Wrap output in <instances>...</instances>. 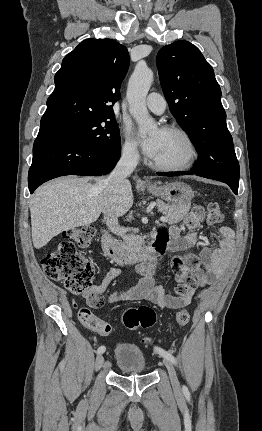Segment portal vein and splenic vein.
<instances>
[{
  "instance_id": "portal-vein-and-splenic-vein-1",
  "label": "portal vein and splenic vein",
  "mask_w": 262,
  "mask_h": 431,
  "mask_svg": "<svg viewBox=\"0 0 262 431\" xmlns=\"http://www.w3.org/2000/svg\"><path fill=\"white\" fill-rule=\"evenodd\" d=\"M159 220L162 221V222H167V218L166 217H161Z\"/></svg>"
}]
</instances>
